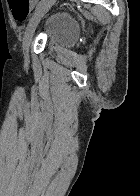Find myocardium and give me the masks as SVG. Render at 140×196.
<instances>
[{
    "instance_id": "f54148a6",
    "label": "myocardium",
    "mask_w": 140,
    "mask_h": 196,
    "mask_svg": "<svg viewBox=\"0 0 140 196\" xmlns=\"http://www.w3.org/2000/svg\"><path fill=\"white\" fill-rule=\"evenodd\" d=\"M3 192H8V191H3ZM36 192H66V191H36Z\"/></svg>"
}]
</instances>
